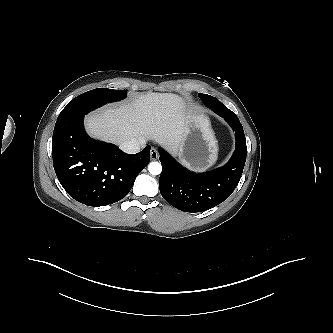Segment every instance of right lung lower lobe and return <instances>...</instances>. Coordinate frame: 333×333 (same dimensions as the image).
<instances>
[{
  "instance_id": "98d812e1",
  "label": "right lung lower lobe",
  "mask_w": 333,
  "mask_h": 333,
  "mask_svg": "<svg viewBox=\"0 0 333 333\" xmlns=\"http://www.w3.org/2000/svg\"><path fill=\"white\" fill-rule=\"evenodd\" d=\"M84 115H59L52 137L53 166L66 192L88 206H105L124 198L150 161V146L126 154L116 145L90 138Z\"/></svg>"
}]
</instances>
